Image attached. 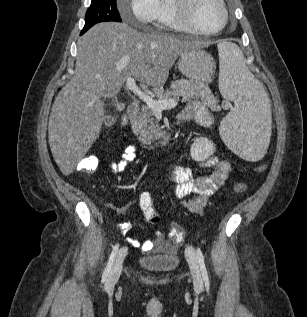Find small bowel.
Wrapping results in <instances>:
<instances>
[{
  "label": "small bowel",
  "instance_id": "c3829d8e",
  "mask_svg": "<svg viewBox=\"0 0 307 317\" xmlns=\"http://www.w3.org/2000/svg\"><path fill=\"white\" fill-rule=\"evenodd\" d=\"M179 117L183 121L196 120L202 126H211L213 123L212 114L200 102L189 104ZM137 152L138 147L136 145L128 146L118 160L111 162L112 171L115 173L124 171L127 164L135 159ZM202 166L211 169V174L195 176L193 170L189 167H172L165 174L166 179L173 183V194L181 200L182 207L197 215L204 212L209 197L223 187L232 171L229 162L214 157L207 159ZM119 226L123 232L132 227L131 223L128 222ZM132 243L140 246L143 252H148L155 247L163 248V234L157 231L154 241L147 240L143 243L133 241Z\"/></svg>",
  "mask_w": 307,
  "mask_h": 317
}]
</instances>
